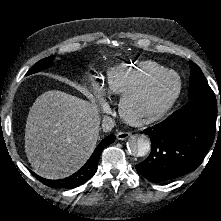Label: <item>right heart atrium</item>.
I'll return each instance as SVG.
<instances>
[{
  "mask_svg": "<svg viewBox=\"0 0 221 221\" xmlns=\"http://www.w3.org/2000/svg\"><path fill=\"white\" fill-rule=\"evenodd\" d=\"M93 92L100 104V108L103 112L108 111V105L105 101L104 88L98 84L93 85Z\"/></svg>",
  "mask_w": 221,
  "mask_h": 221,
  "instance_id": "obj_1",
  "label": "right heart atrium"
}]
</instances>
